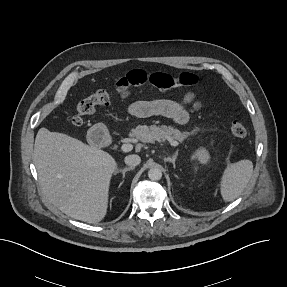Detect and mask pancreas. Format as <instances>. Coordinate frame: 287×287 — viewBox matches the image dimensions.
<instances>
[{"label":"pancreas","mask_w":287,"mask_h":287,"mask_svg":"<svg viewBox=\"0 0 287 287\" xmlns=\"http://www.w3.org/2000/svg\"><path fill=\"white\" fill-rule=\"evenodd\" d=\"M194 134H196V132H181L179 129L166 125H139L135 129H132L130 136L144 143H154L155 141H164L169 139L183 142L189 136H192Z\"/></svg>","instance_id":"cf45deb5"}]
</instances>
